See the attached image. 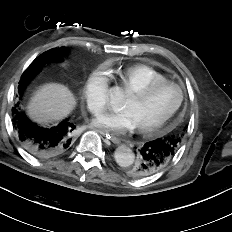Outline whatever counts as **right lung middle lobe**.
<instances>
[{
	"label": "right lung middle lobe",
	"instance_id": "right-lung-middle-lobe-1",
	"mask_svg": "<svg viewBox=\"0 0 232 232\" xmlns=\"http://www.w3.org/2000/svg\"><path fill=\"white\" fill-rule=\"evenodd\" d=\"M49 61H58V58L54 56L52 52L47 51L38 56L22 74L19 88L28 85L30 81L41 71L44 64Z\"/></svg>",
	"mask_w": 232,
	"mask_h": 232
}]
</instances>
